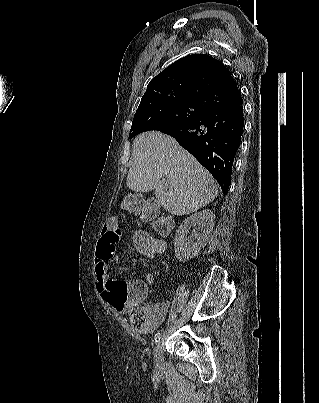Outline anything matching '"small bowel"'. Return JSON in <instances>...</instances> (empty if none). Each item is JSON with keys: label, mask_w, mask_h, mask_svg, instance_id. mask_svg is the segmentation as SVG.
Returning a JSON list of instances; mask_svg holds the SVG:
<instances>
[{"label": "small bowel", "mask_w": 319, "mask_h": 403, "mask_svg": "<svg viewBox=\"0 0 319 403\" xmlns=\"http://www.w3.org/2000/svg\"><path fill=\"white\" fill-rule=\"evenodd\" d=\"M127 236L128 231L122 230L113 217L99 227L94 258L96 285L101 290V301H108L110 309H117L132 335H151L163 323L171 306L169 302L142 301L148 299V285L155 283V276H146L147 285H143L142 279L109 278L108 261L120 253L119 238Z\"/></svg>", "instance_id": "c3829d8e"}]
</instances>
